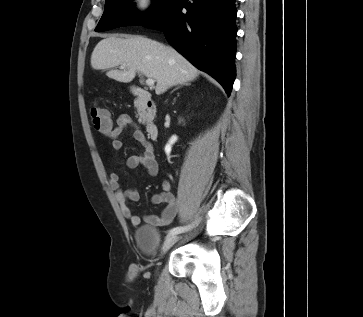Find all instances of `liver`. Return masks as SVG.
I'll list each match as a JSON object with an SVG mask.
<instances>
[{"mask_svg":"<svg viewBox=\"0 0 363 317\" xmlns=\"http://www.w3.org/2000/svg\"><path fill=\"white\" fill-rule=\"evenodd\" d=\"M125 65V70H113ZM95 70L111 69L107 76L129 83L136 72L156 81L157 95L172 86L195 80L199 71L186 58L170 46L141 36L122 38L117 35L101 40L91 55Z\"/></svg>","mask_w":363,"mask_h":317,"instance_id":"liver-1","label":"liver"}]
</instances>
